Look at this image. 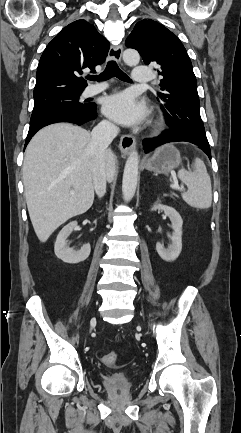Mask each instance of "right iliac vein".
<instances>
[{"instance_id":"1","label":"right iliac vein","mask_w":241,"mask_h":433,"mask_svg":"<svg viewBox=\"0 0 241 433\" xmlns=\"http://www.w3.org/2000/svg\"><path fill=\"white\" fill-rule=\"evenodd\" d=\"M95 322H96V319H95V317H93L90 321V324L93 325Z\"/></svg>"}]
</instances>
